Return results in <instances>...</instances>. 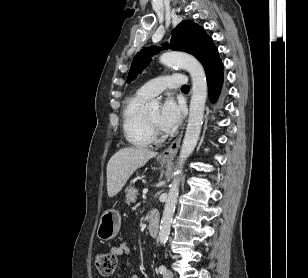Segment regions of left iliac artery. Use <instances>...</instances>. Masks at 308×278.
Here are the masks:
<instances>
[{
    "label": "left iliac artery",
    "instance_id": "44dca946",
    "mask_svg": "<svg viewBox=\"0 0 308 278\" xmlns=\"http://www.w3.org/2000/svg\"><path fill=\"white\" fill-rule=\"evenodd\" d=\"M166 271V267L164 265L159 266V272L162 274Z\"/></svg>",
    "mask_w": 308,
    "mask_h": 278
}]
</instances>
